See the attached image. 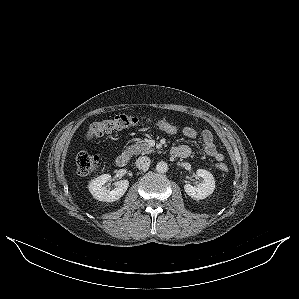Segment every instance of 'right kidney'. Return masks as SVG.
<instances>
[{"label":"right kidney","mask_w":299,"mask_h":299,"mask_svg":"<svg viewBox=\"0 0 299 299\" xmlns=\"http://www.w3.org/2000/svg\"><path fill=\"white\" fill-rule=\"evenodd\" d=\"M111 180L109 174H103L89 183V191L92 196L99 201L114 202L119 200L127 191L129 186L128 180H120L115 183L113 190H107L104 186L106 182Z\"/></svg>","instance_id":"ca27d5eb"}]
</instances>
